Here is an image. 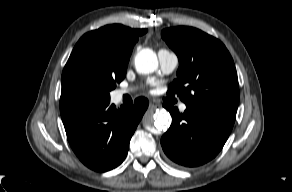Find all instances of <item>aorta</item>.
I'll use <instances>...</instances> for the list:
<instances>
[{"label":"aorta","mask_w":292,"mask_h":192,"mask_svg":"<svg viewBox=\"0 0 292 192\" xmlns=\"http://www.w3.org/2000/svg\"><path fill=\"white\" fill-rule=\"evenodd\" d=\"M135 67L139 73H152L158 67L156 54L150 49L141 50L135 57ZM171 115L164 109L157 110L152 117H145L144 126L148 130L165 131L171 124Z\"/></svg>","instance_id":"762f6f07"}]
</instances>
